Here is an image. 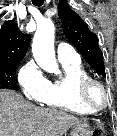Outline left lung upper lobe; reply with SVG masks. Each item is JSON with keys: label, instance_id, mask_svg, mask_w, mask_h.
<instances>
[{"label": "left lung upper lobe", "instance_id": "obj_1", "mask_svg": "<svg viewBox=\"0 0 117 136\" xmlns=\"http://www.w3.org/2000/svg\"><path fill=\"white\" fill-rule=\"evenodd\" d=\"M59 17L67 39L99 75L105 76L103 54L98 46L97 36L65 0L59 2Z\"/></svg>", "mask_w": 117, "mask_h": 136}]
</instances>
